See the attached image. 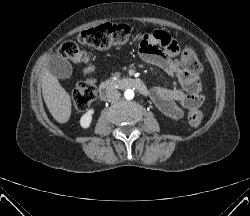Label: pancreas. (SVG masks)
<instances>
[{
	"label": "pancreas",
	"mask_w": 250,
	"mask_h": 216,
	"mask_svg": "<svg viewBox=\"0 0 250 216\" xmlns=\"http://www.w3.org/2000/svg\"><path fill=\"white\" fill-rule=\"evenodd\" d=\"M114 77L118 79L120 77V74H118V73L114 74Z\"/></svg>",
	"instance_id": "1"
}]
</instances>
